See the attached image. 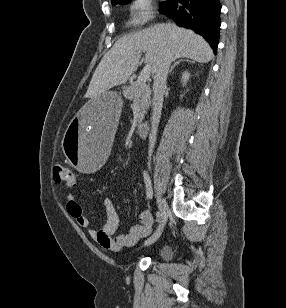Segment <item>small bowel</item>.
<instances>
[{
  "mask_svg": "<svg viewBox=\"0 0 286 308\" xmlns=\"http://www.w3.org/2000/svg\"><path fill=\"white\" fill-rule=\"evenodd\" d=\"M101 205L106 212V221L96 228H90V220L85 214L81 203L73 196L66 197V209L69 215L79 227L88 229L90 237L101 247L113 252H121L151 233L154 223L153 218L148 211H142L139 215L138 224L133 225L126 233L115 235L120 219L114 200L107 197L102 201Z\"/></svg>",
  "mask_w": 286,
  "mask_h": 308,
  "instance_id": "small-bowel-1",
  "label": "small bowel"
}]
</instances>
